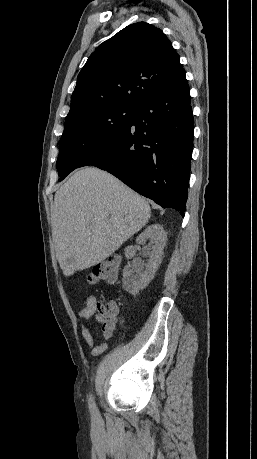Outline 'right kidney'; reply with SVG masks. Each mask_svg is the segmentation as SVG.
<instances>
[{
	"label": "right kidney",
	"mask_w": 257,
	"mask_h": 459,
	"mask_svg": "<svg viewBox=\"0 0 257 459\" xmlns=\"http://www.w3.org/2000/svg\"><path fill=\"white\" fill-rule=\"evenodd\" d=\"M147 240L151 242V252L146 264V270L142 265H136L133 268L125 267L123 269V289L128 293L135 295L140 290L146 288L161 263L163 249L167 242V233L164 231L163 226L160 224H152L148 226L136 239L138 244L145 243ZM136 247L128 246L125 249V256L127 259L134 257Z\"/></svg>",
	"instance_id": "right-kidney-1"
}]
</instances>
